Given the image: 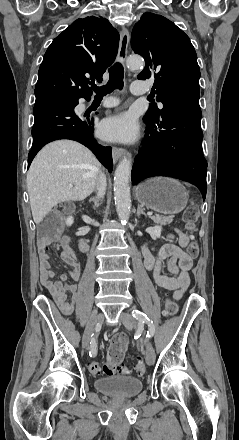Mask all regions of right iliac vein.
Listing matches in <instances>:
<instances>
[{
	"mask_svg": "<svg viewBox=\"0 0 239 440\" xmlns=\"http://www.w3.org/2000/svg\"><path fill=\"white\" fill-rule=\"evenodd\" d=\"M104 315L102 313L98 314V315H94L89 323L87 324L85 331L83 333V337H82V346L83 348H87L90 338H91V334L95 329L96 323L103 320Z\"/></svg>",
	"mask_w": 239,
	"mask_h": 440,
	"instance_id": "right-iliac-vein-1",
	"label": "right iliac vein"
}]
</instances>
